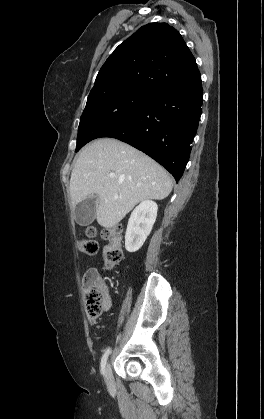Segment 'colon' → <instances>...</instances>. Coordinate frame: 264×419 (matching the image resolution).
I'll return each mask as SVG.
<instances>
[{"instance_id": "obj_1", "label": "colon", "mask_w": 264, "mask_h": 419, "mask_svg": "<svg viewBox=\"0 0 264 419\" xmlns=\"http://www.w3.org/2000/svg\"><path fill=\"white\" fill-rule=\"evenodd\" d=\"M96 234L92 227L87 229L88 239L79 242L80 250L87 255H95L98 251V244L91 239ZM104 236L109 243L103 251L104 262L108 268L118 264L123 258V251L120 246V228L107 231ZM83 293L85 309L90 321L95 322L103 312L108 300V287L105 280L97 271H88L83 278Z\"/></svg>"}]
</instances>
